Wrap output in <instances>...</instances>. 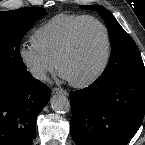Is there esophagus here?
I'll return each mask as SVG.
<instances>
[{
  "instance_id": "esophagus-1",
  "label": "esophagus",
  "mask_w": 145,
  "mask_h": 145,
  "mask_svg": "<svg viewBox=\"0 0 145 145\" xmlns=\"http://www.w3.org/2000/svg\"><path fill=\"white\" fill-rule=\"evenodd\" d=\"M52 94H63V95H68V92L62 88L54 87L52 89Z\"/></svg>"
}]
</instances>
